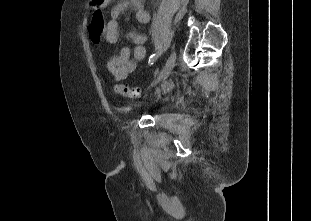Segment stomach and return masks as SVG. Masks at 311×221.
Listing matches in <instances>:
<instances>
[{
  "instance_id": "1",
  "label": "stomach",
  "mask_w": 311,
  "mask_h": 221,
  "mask_svg": "<svg viewBox=\"0 0 311 221\" xmlns=\"http://www.w3.org/2000/svg\"><path fill=\"white\" fill-rule=\"evenodd\" d=\"M109 0H94L95 6H106L108 4Z\"/></svg>"
}]
</instances>
